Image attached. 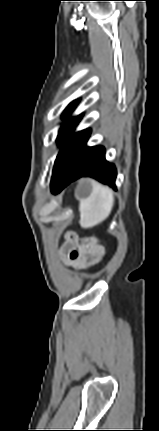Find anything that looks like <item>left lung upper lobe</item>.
<instances>
[{"mask_svg":"<svg viewBox=\"0 0 159 431\" xmlns=\"http://www.w3.org/2000/svg\"><path fill=\"white\" fill-rule=\"evenodd\" d=\"M78 102L79 100H75L72 103H70L63 113L64 124L62 125L57 138V143L61 145V148L54 164L52 180L59 173L69 149L71 148V146L73 145L77 137L83 132V131H80L73 134L74 127L81 120L82 114L74 118L68 117V115L75 109Z\"/></svg>","mask_w":159,"mask_h":431,"instance_id":"1","label":"left lung upper lobe"}]
</instances>
